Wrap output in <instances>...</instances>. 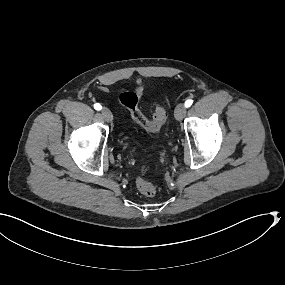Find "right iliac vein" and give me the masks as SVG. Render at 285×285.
Instances as JSON below:
<instances>
[{
    "instance_id": "right-iliac-vein-1",
    "label": "right iliac vein",
    "mask_w": 285,
    "mask_h": 285,
    "mask_svg": "<svg viewBox=\"0 0 285 285\" xmlns=\"http://www.w3.org/2000/svg\"><path fill=\"white\" fill-rule=\"evenodd\" d=\"M101 114L106 121L111 122L113 120L112 113L107 108H103Z\"/></svg>"
}]
</instances>
